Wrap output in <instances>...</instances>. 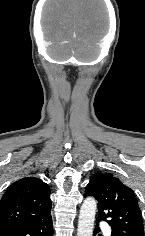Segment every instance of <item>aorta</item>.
<instances>
[{"mask_svg": "<svg viewBox=\"0 0 145 236\" xmlns=\"http://www.w3.org/2000/svg\"><path fill=\"white\" fill-rule=\"evenodd\" d=\"M96 201L88 197L84 200L79 214L77 236H92L96 214Z\"/></svg>", "mask_w": 145, "mask_h": 236, "instance_id": "aorta-1", "label": "aorta"}]
</instances>
